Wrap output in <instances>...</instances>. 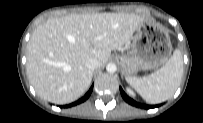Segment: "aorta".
<instances>
[{
    "mask_svg": "<svg viewBox=\"0 0 203 123\" xmlns=\"http://www.w3.org/2000/svg\"><path fill=\"white\" fill-rule=\"evenodd\" d=\"M106 70L110 73H114L116 70H117V67L114 63H109L107 66H106Z\"/></svg>",
    "mask_w": 203,
    "mask_h": 123,
    "instance_id": "obj_1",
    "label": "aorta"
}]
</instances>
